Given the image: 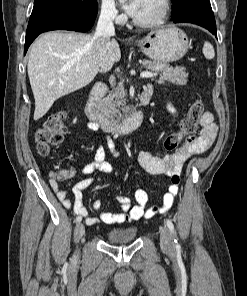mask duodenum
<instances>
[{
    "instance_id": "duodenum-1",
    "label": "duodenum",
    "mask_w": 247,
    "mask_h": 296,
    "mask_svg": "<svg viewBox=\"0 0 247 296\" xmlns=\"http://www.w3.org/2000/svg\"><path fill=\"white\" fill-rule=\"evenodd\" d=\"M106 83L97 82L89 93L88 100L85 105V112L88 118L98 123L107 133H119L128 135L139 128L143 121V108L148 105L152 98V88L143 91L138 99L137 107L124 119L115 121L107 117L100 108V100L107 92Z\"/></svg>"
}]
</instances>
